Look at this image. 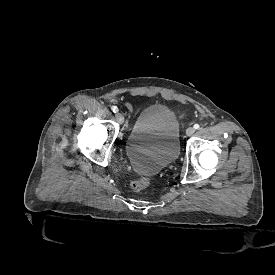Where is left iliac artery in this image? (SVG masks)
I'll return each instance as SVG.
<instances>
[{
    "label": "left iliac artery",
    "instance_id": "obj_1",
    "mask_svg": "<svg viewBox=\"0 0 275 275\" xmlns=\"http://www.w3.org/2000/svg\"><path fill=\"white\" fill-rule=\"evenodd\" d=\"M194 128H195V129H199V128H200L199 124H195V125H194Z\"/></svg>",
    "mask_w": 275,
    "mask_h": 275
}]
</instances>
